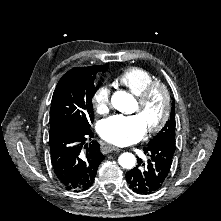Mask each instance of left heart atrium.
<instances>
[{
  "instance_id": "39dd6f15",
  "label": "left heart atrium",
  "mask_w": 221,
  "mask_h": 221,
  "mask_svg": "<svg viewBox=\"0 0 221 221\" xmlns=\"http://www.w3.org/2000/svg\"><path fill=\"white\" fill-rule=\"evenodd\" d=\"M98 131L106 142L116 146H127L140 141L146 133V128L136 115H113L99 124Z\"/></svg>"
}]
</instances>
